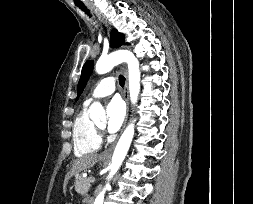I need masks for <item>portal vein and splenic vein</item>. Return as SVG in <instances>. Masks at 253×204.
<instances>
[{"label": "portal vein and splenic vein", "instance_id": "1", "mask_svg": "<svg viewBox=\"0 0 253 204\" xmlns=\"http://www.w3.org/2000/svg\"><path fill=\"white\" fill-rule=\"evenodd\" d=\"M88 180H89V182H90V183L95 182V178H94V177H92V176H91V177H88Z\"/></svg>", "mask_w": 253, "mask_h": 204}]
</instances>
